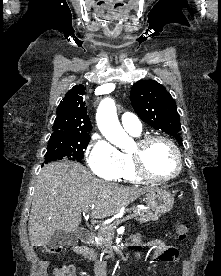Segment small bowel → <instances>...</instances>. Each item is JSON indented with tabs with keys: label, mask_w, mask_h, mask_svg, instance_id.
<instances>
[{
	"label": "small bowel",
	"mask_w": 221,
	"mask_h": 276,
	"mask_svg": "<svg viewBox=\"0 0 221 276\" xmlns=\"http://www.w3.org/2000/svg\"><path fill=\"white\" fill-rule=\"evenodd\" d=\"M133 242L138 243V237H133ZM146 246L154 249L152 262L176 261L179 256V252L175 247L169 246L161 240H152ZM74 252L79 256L87 258L93 264L95 276H106L105 262L99 260L93 250L84 246H75Z\"/></svg>",
	"instance_id": "small-bowel-1"
}]
</instances>
